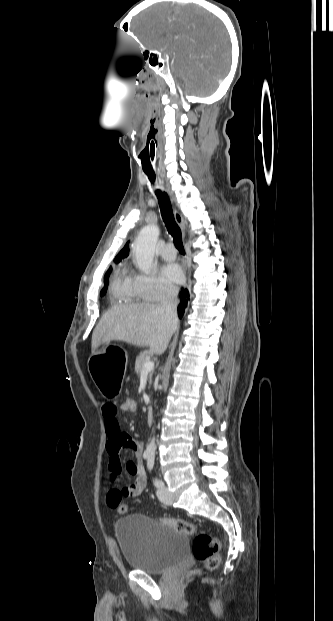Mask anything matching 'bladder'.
I'll return each instance as SVG.
<instances>
[{
    "label": "bladder",
    "mask_w": 333,
    "mask_h": 621,
    "mask_svg": "<svg viewBox=\"0 0 333 621\" xmlns=\"http://www.w3.org/2000/svg\"><path fill=\"white\" fill-rule=\"evenodd\" d=\"M115 534L126 564L136 571L166 574L188 555L187 535L146 515L120 518L115 524Z\"/></svg>",
    "instance_id": "obj_1"
}]
</instances>
